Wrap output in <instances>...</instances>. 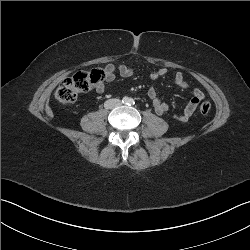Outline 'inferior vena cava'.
Masks as SVG:
<instances>
[{"label": "inferior vena cava", "mask_w": 250, "mask_h": 250, "mask_svg": "<svg viewBox=\"0 0 250 250\" xmlns=\"http://www.w3.org/2000/svg\"><path fill=\"white\" fill-rule=\"evenodd\" d=\"M121 105V101L119 99H110L105 102V107L107 109H113L119 107Z\"/></svg>", "instance_id": "obj_1"}]
</instances>
